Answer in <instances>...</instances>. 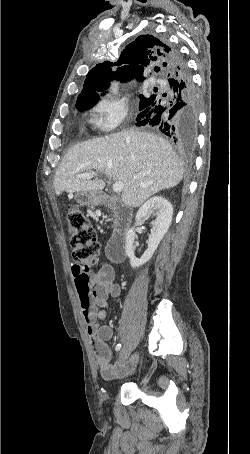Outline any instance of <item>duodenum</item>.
I'll return each instance as SVG.
<instances>
[{
  "label": "duodenum",
  "instance_id": "duodenum-1",
  "mask_svg": "<svg viewBox=\"0 0 250 454\" xmlns=\"http://www.w3.org/2000/svg\"><path fill=\"white\" fill-rule=\"evenodd\" d=\"M113 200L102 195L99 203L113 208ZM114 228L108 243V257L114 263H121L125 258L126 232L132 218V213L124 206H118L112 211Z\"/></svg>",
  "mask_w": 250,
  "mask_h": 454
}]
</instances>
